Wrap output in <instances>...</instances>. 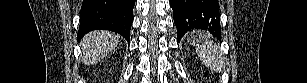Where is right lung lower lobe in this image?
Here are the masks:
<instances>
[{
  "label": "right lung lower lobe",
  "instance_id": "right-lung-lower-lobe-1",
  "mask_svg": "<svg viewBox=\"0 0 307 83\" xmlns=\"http://www.w3.org/2000/svg\"><path fill=\"white\" fill-rule=\"evenodd\" d=\"M135 0H83L78 38L93 30H109L130 40Z\"/></svg>",
  "mask_w": 307,
  "mask_h": 83
}]
</instances>
